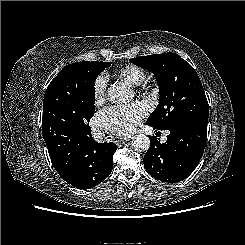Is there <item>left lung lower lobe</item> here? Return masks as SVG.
I'll return each instance as SVG.
<instances>
[{"label": "left lung lower lobe", "instance_id": "1", "mask_svg": "<svg viewBox=\"0 0 245 245\" xmlns=\"http://www.w3.org/2000/svg\"><path fill=\"white\" fill-rule=\"evenodd\" d=\"M156 130H160L154 125ZM165 143L156 136L150 137L151 145L143 162L147 172L157 180L180 182L186 179L198 165L206 145L207 120L194 118L175 128Z\"/></svg>", "mask_w": 245, "mask_h": 245}]
</instances>
